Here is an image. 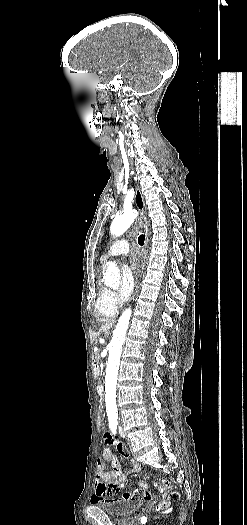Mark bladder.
<instances>
[{"mask_svg":"<svg viewBox=\"0 0 247 525\" xmlns=\"http://www.w3.org/2000/svg\"><path fill=\"white\" fill-rule=\"evenodd\" d=\"M92 504L99 508L107 516L118 518L137 512L139 508L142 507L143 500L138 499L137 501L133 502L131 500L122 498L114 501H98Z\"/></svg>","mask_w":247,"mask_h":525,"instance_id":"obj_1","label":"bladder"}]
</instances>
